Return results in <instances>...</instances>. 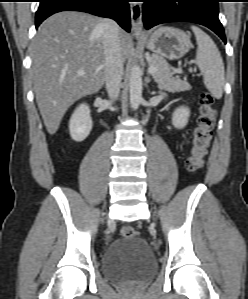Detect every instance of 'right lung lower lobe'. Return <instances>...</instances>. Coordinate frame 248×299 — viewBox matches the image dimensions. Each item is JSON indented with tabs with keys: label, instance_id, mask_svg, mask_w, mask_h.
<instances>
[{
	"label": "right lung lower lobe",
	"instance_id": "right-lung-lower-lobe-1",
	"mask_svg": "<svg viewBox=\"0 0 248 299\" xmlns=\"http://www.w3.org/2000/svg\"><path fill=\"white\" fill-rule=\"evenodd\" d=\"M129 0H40L36 12V28L50 15L60 11H82L114 19L130 32Z\"/></svg>",
	"mask_w": 248,
	"mask_h": 299
}]
</instances>
